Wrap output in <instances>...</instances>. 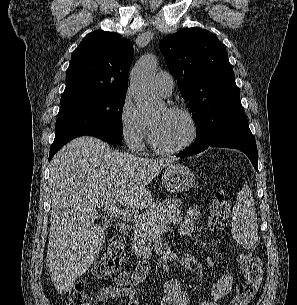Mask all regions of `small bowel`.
Segmentation results:
<instances>
[{"instance_id":"1","label":"small bowel","mask_w":297,"mask_h":305,"mask_svg":"<svg viewBox=\"0 0 297 305\" xmlns=\"http://www.w3.org/2000/svg\"><path fill=\"white\" fill-rule=\"evenodd\" d=\"M200 215V210L196 206L187 209L185 218L180 225L179 235L182 237L189 236L193 232L194 223ZM238 241L237 237H233ZM206 264L213 266L212 259L207 256ZM150 266L147 262H141L133 271L120 272L113 278L115 286L101 287L96 293L97 305H102L113 300L125 299L127 305H138L139 295L134 286L142 282L149 274ZM233 287V276L224 275L216 280L209 289L207 300L200 302L198 305H219L221 300L226 298ZM188 293L184 290L182 282L178 278H170L164 286V295L159 305H190Z\"/></svg>"}]
</instances>
